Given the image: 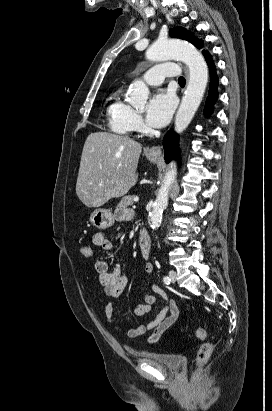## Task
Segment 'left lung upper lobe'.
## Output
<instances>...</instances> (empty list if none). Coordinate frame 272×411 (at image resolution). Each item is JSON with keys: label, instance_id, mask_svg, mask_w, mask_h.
Instances as JSON below:
<instances>
[{"label": "left lung upper lobe", "instance_id": "obj_1", "mask_svg": "<svg viewBox=\"0 0 272 411\" xmlns=\"http://www.w3.org/2000/svg\"><path fill=\"white\" fill-rule=\"evenodd\" d=\"M170 36L173 38H180V39H185L192 44H194L197 48H202L203 46V41L198 40L197 38L194 37V35L187 31L186 29L182 27H175L170 30ZM206 51H203V54H205Z\"/></svg>", "mask_w": 272, "mask_h": 411}]
</instances>
